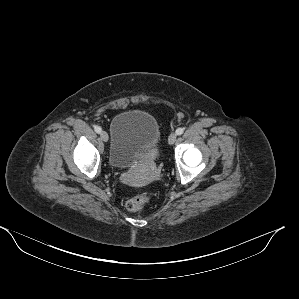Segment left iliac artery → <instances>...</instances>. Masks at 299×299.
<instances>
[{
	"instance_id": "obj_1",
	"label": "left iliac artery",
	"mask_w": 299,
	"mask_h": 299,
	"mask_svg": "<svg viewBox=\"0 0 299 299\" xmlns=\"http://www.w3.org/2000/svg\"><path fill=\"white\" fill-rule=\"evenodd\" d=\"M183 132H184V130H183L182 128H178V129L176 130V134H177V135H181Z\"/></svg>"
}]
</instances>
